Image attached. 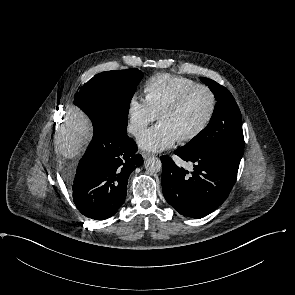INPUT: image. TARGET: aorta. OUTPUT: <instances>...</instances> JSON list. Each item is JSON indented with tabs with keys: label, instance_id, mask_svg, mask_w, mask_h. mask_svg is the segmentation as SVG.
Masks as SVG:
<instances>
[{
	"label": "aorta",
	"instance_id": "aorta-1",
	"mask_svg": "<svg viewBox=\"0 0 295 295\" xmlns=\"http://www.w3.org/2000/svg\"><path fill=\"white\" fill-rule=\"evenodd\" d=\"M144 166L149 173H158L162 169L161 160L157 157L148 158Z\"/></svg>",
	"mask_w": 295,
	"mask_h": 295
}]
</instances>
